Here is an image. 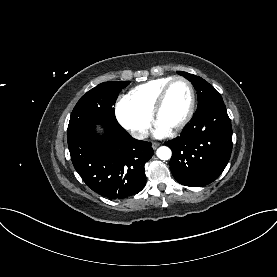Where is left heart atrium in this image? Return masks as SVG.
I'll use <instances>...</instances> for the list:
<instances>
[{"label":"left heart atrium","instance_id":"39dd6f15","mask_svg":"<svg viewBox=\"0 0 277 277\" xmlns=\"http://www.w3.org/2000/svg\"><path fill=\"white\" fill-rule=\"evenodd\" d=\"M170 128L167 127L166 125L158 122L157 125H156V129H155V136L156 137H163L165 135L168 134Z\"/></svg>","mask_w":277,"mask_h":277}]
</instances>
